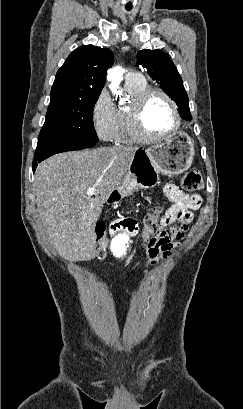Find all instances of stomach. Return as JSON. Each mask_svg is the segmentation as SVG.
Segmentation results:
<instances>
[{
    "label": "stomach",
    "instance_id": "1",
    "mask_svg": "<svg viewBox=\"0 0 243 409\" xmlns=\"http://www.w3.org/2000/svg\"><path fill=\"white\" fill-rule=\"evenodd\" d=\"M194 156V143L186 133H176L160 144L137 151L117 192L121 198L138 189L159 183V174L178 175L188 170Z\"/></svg>",
    "mask_w": 243,
    "mask_h": 409
}]
</instances>
